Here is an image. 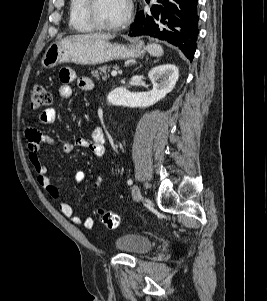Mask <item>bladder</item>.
Returning <instances> with one entry per match:
<instances>
[{"label": "bladder", "instance_id": "obj_1", "mask_svg": "<svg viewBox=\"0 0 267 301\" xmlns=\"http://www.w3.org/2000/svg\"><path fill=\"white\" fill-rule=\"evenodd\" d=\"M153 247V242L146 236L134 233H125L115 240V248L126 254L143 255Z\"/></svg>", "mask_w": 267, "mask_h": 301}]
</instances>
